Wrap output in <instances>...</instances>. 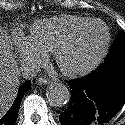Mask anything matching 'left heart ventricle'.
Returning <instances> with one entry per match:
<instances>
[{
    "label": "left heart ventricle",
    "mask_w": 125,
    "mask_h": 125,
    "mask_svg": "<svg viewBox=\"0 0 125 125\" xmlns=\"http://www.w3.org/2000/svg\"><path fill=\"white\" fill-rule=\"evenodd\" d=\"M104 39L101 26L93 25L85 30L64 52L62 61L68 68L78 67L92 59L100 50Z\"/></svg>",
    "instance_id": "obj_1"
}]
</instances>
